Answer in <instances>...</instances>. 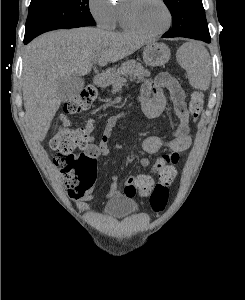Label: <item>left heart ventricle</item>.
<instances>
[{
	"instance_id": "b2bd125f",
	"label": "left heart ventricle",
	"mask_w": 245,
	"mask_h": 300,
	"mask_svg": "<svg viewBox=\"0 0 245 300\" xmlns=\"http://www.w3.org/2000/svg\"><path fill=\"white\" fill-rule=\"evenodd\" d=\"M136 21L148 31H158L167 23V14L158 0H138L133 9Z\"/></svg>"
}]
</instances>
